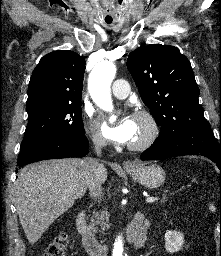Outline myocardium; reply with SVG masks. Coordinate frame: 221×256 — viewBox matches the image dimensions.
Returning <instances> with one entry per match:
<instances>
[{
	"instance_id": "myocardium-1",
	"label": "myocardium",
	"mask_w": 221,
	"mask_h": 256,
	"mask_svg": "<svg viewBox=\"0 0 221 256\" xmlns=\"http://www.w3.org/2000/svg\"><path fill=\"white\" fill-rule=\"evenodd\" d=\"M134 116L142 119L146 123L147 131L143 138L131 142L129 148L135 151L145 150L158 139L160 135V125L156 117L148 110H137Z\"/></svg>"
}]
</instances>
